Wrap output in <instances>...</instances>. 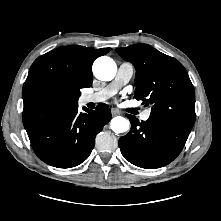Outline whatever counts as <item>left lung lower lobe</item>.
Listing matches in <instances>:
<instances>
[{"instance_id":"left-lung-lower-lobe-1","label":"left lung lower lobe","mask_w":221,"mask_h":221,"mask_svg":"<svg viewBox=\"0 0 221 221\" xmlns=\"http://www.w3.org/2000/svg\"><path fill=\"white\" fill-rule=\"evenodd\" d=\"M131 122L129 133L118 141L122 155L135 166L155 169L172 162L182 151L191 129L149 117L147 121L126 115Z\"/></svg>"}]
</instances>
